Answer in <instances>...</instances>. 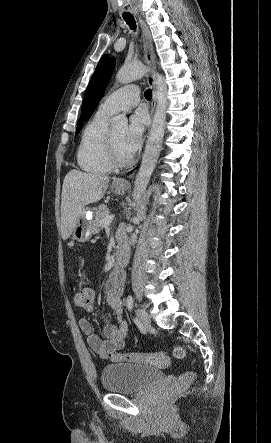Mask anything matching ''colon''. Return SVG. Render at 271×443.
<instances>
[{
  "mask_svg": "<svg viewBox=\"0 0 271 443\" xmlns=\"http://www.w3.org/2000/svg\"><path fill=\"white\" fill-rule=\"evenodd\" d=\"M73 303L75 306L87 311H91L94 307L95 290L89 283H80L71 289ZM176 358H184L186 356L185 348L176 346L173 350ZM113 362H132L153 365L157 367H167L170 364V359L165 352L154 353H120L113 352L110 355ZM194 372L186 371L180 374L169 387L166 392L168 400L184 392L192 383L194 379Z\"/></svg>",
  "mask_w": 271,
  "mask_h": 443,
  "instance_id": "1",
  "label": "colon"
}]
</instances>
